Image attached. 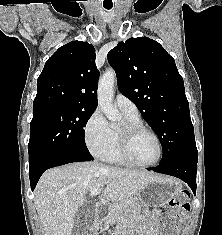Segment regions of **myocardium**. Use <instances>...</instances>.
Masks as SVG:
<instances>
[{
  "label": "myocardium",
  "instance_id": "f54148a6",
  "mask_svg": "<svg viewBox=\"0 0 222 235\" xmlns=\"http://www.w3.org/2000/svg\"><path fill=\"white\" fill-rule=\"evenodd\" d=\"M142 132L152 135L158 144V156L150 163L137 162L132 156L131 148L133 141L136 136ZM118 148L120 156L125 163L140 168H148L158 164L162 160L164 154L163 144L158 134L141 122H125V124L118 130Z\"/></svg>",
  "mask_w": 222,
  "mask_h": 235
}]
</instances>
